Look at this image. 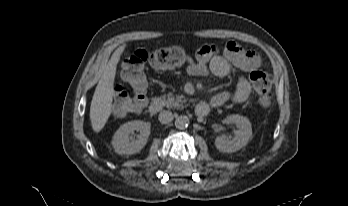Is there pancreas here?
Listing matches in <instances>:
<instances>
[{
	"label": "pancreas",
	"mask_w": 348,
	"mask_h": 206,
	"mask_svg": "<svg viewBox=\"0 0 348 206\" xmlns=\"http://www.w3.org/2000/svg\"><path fill=\"white\" fill-rule=\"evenodd\" d=\"M166 103L168 108L182 107L184 103L187 102L184 95H174L173 93H168L161 97Z\"/></svg>",
	"instance_id": "obj_1"
}]
</instances>
